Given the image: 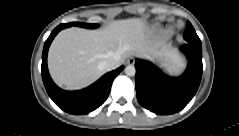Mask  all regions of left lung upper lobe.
Masks as SVG:
<instances>
[{"instance_id": "1", "label": "left lung upper lobe", "mask_w": 239, "mask_h": 136, "mask_svg": "<svg viewBox=\"0 0 239 136\" xmlns=\"http://www.w3.org/2000/svg\"><path fill=\"white\" fill-rule=\"evenodd\" d=\"M183 38L188 43H192V44L201 46V41H200L199 37L197 36V34L190 22H187V24H186V29L184 31Z\"/></svg>"}]
</instances>
